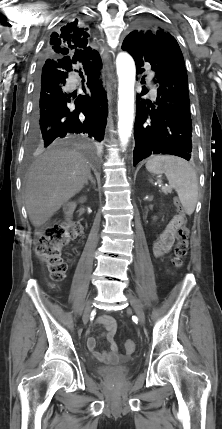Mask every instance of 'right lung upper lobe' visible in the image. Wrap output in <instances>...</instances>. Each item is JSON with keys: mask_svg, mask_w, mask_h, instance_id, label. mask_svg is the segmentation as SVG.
I'll list each match as a JSON object with an SVG mask.
<instances>
[{"mask_svg": "<svg viewBox=\"0 0 222 429\" xmlns=\"http://www.w3.org/2000/svg\"><path fill=\"white\" fill-rule=\"evenodd\" d=\"M47 54L50 58L69 57L73 61L87 62L97 57L96 50L87 47L88 34L76 25L62 28L61 33H53Z\"/></svg>", "mask_w": 222, "mask_h": 429, "instance_id": "obj_1", "label": "right lung upper lobe"}]
</instances>
